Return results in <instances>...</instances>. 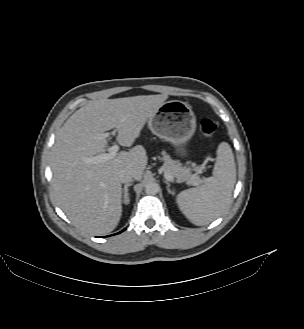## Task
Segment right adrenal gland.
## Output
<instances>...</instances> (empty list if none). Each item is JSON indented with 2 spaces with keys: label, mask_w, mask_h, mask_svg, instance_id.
Wrapping results in <instances>:
<instances>
[{
  "label": "right adrenal gland",
  "mask_w": 304,
  "mask_h": 329,
  "mask_svg": "<svg viewBox=\"0 0 304 329\" xmlns=\"http://www.w3.org/2000/svg\"><path fill=\"white\" fill-rule=\"evenodd\" d=\"M132 183H127L124 185V191H123V203L129 204V193H128V187L131 186Z\"/></svg>",
  "instance_id": "2a0ac1e0"
}]
</instances>
